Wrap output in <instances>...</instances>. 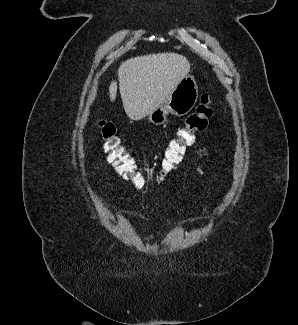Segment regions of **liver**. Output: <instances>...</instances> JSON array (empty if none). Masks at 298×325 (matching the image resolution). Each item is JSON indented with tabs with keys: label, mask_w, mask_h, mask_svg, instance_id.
<instances>
[{
	"label": "liver",
	"mask_w": 298,
	"mask_h": 325,
	"mask_svg": "<svg viewBox=\"0 0 298 325\" xmlns=\"http://www.w3.org/2000/svg\"><path fill=\"white\" fill-rule=\"evenodd\" d=\"M190 68L187 56L179 52H153L121 62L117 76L127 116L131 120H142L164 104L181 78L189 74ZM108 90L110 100L114 102L116 80H111Z\"/></svg>",
	"instance_id": "6515ba94"
}]
</instances>
